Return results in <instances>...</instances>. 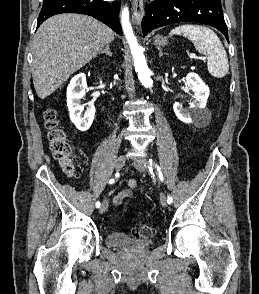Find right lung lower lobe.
<instances>
[{
  "instance_id": "right-lung-lower-lobe-1",
  "label": "right lung lower lobe",
  "mask_w": 259,
  "mask_h": 294,
  "mask_svg": "<svg viewBox=\"0 0 259 294\" xmlns=\"http://www.w3.org/2000/svg\"><path fill=\"white\" fill-rule=\"evenodd\" d=\"M121 2L104 0H44L38 17V24L59 13H80L93 16L122 35L118 19Z\"/></svg>"
}]
</instances>
